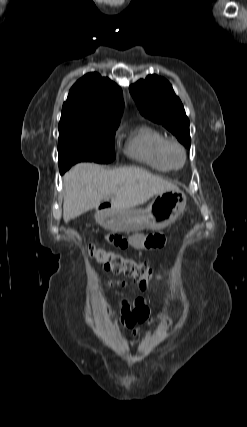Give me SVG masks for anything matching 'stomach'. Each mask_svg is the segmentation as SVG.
Listing matches in <instances>:
<instances>
[{
  "instance_id": "obj_1",
  "label": "stomach",
  "mask_w": 247,
  "mask_h": 427,
  "mask_svg": "<svg viewBox=\"0 0 247 427\" xmlns=\"http://www.w3.org/2000/svg\"><path fill=\"white\" fill-rule=\"evenodd\" d=\"M186 200L185 194L175 188L158 194L146 209H101L96 212L95 218L101 226L116 232L161 230L174 223L184 212Z\"/></svg>"
}]
</instances>
